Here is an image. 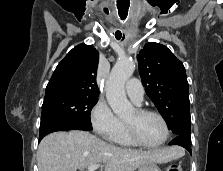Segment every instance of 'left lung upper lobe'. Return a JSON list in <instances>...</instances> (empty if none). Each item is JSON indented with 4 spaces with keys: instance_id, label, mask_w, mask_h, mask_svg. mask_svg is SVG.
I'll list each match as a JSON object with an SVG mask.
<instances>
[{
    "instance_id": "1",
    "label": "left lung upper lobe",
    "mask_w": 223,
    "mask_h": 171,
    "mask_svg": "<svg viewBox=\"0 0 223 171\" xmlns=\"http://www.w3.org/2000/svg\"><path fill=\"white\" fill-rule=\"evenodd\" d=\"M142 84L175 136H190L189 88L181 61L164 45L147 43L137 55Z\"/></svg>"
}]
</instances>
